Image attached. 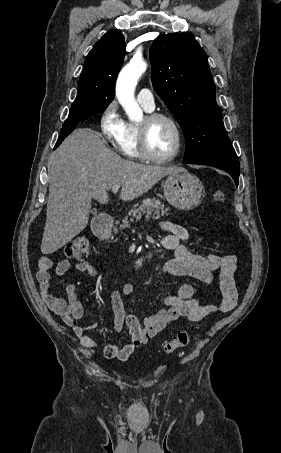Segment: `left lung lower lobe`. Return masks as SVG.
Wrapping results in <instances>:
<instances>
[{
	"mask_svg": "<svg viewBox=\"0 0 281 453\" xmlns=\"http://www.w3.org/2000/svg\"><path fill=\"white\" fill-rule=\"evenodd\" d=\"M188 164H200V165H209L220 168L227 173H229L234 179L236 186L239 183V174H240V163L236 153L226 154V155H217L202 159H197L193 161H184Z\"/></svg>",
	"mask_w": 281,
	"mask_h": 453,
	"instance_id": "left-lung-lower-lobe-1",
	"label": "left lung lower lobe"
}]
</instances>
